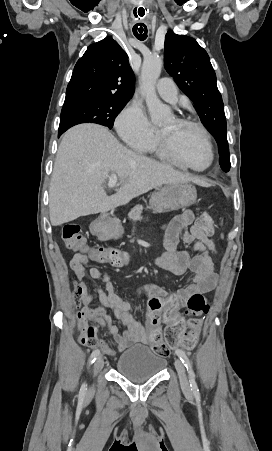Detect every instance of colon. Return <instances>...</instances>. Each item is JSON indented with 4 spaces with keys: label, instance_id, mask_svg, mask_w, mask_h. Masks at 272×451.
<instances>
[{
    "label": "colon",
    "instance_id": "obj_1",
    "mask_svg": "<svg viewBox=\"0 0 272 451\" xmlns=\"http://www.w3.org/2000/svg\"><path fill=\"white\" fill-rule=\"evenodd\" d=\"M198 228L202 231L201 237L203 239H212L214 235V217L209 211L203 212L196 221ZM61 236L67 247L71 250H78L83 247L84 236L81 232V227L75 223H69L62 229ZM86 249L91 247L89 242L84 244ZM94 256H105L110 261L111 268H120L128 262L127 253L119 249H107L105 247H94ZM84 260L79 258H71L68 261L69 266L75 267L76 270L81 271L85 268ZM209 299L201 294L192 295L187 302L186 316H190L192 321V332L197 333L199 327V315L205 314L209 308ZM186 331V318L173 323L166 329V339H160L157 334H154L151 339H146V348H153V351L158 356H168L171 349L174 347H196V338H179ZM99 327L96 324H90L84 330L81 336L82 342L87 347H95L97 345V336Z\"/></svg>",
    "mask_w": 272,
    "mask_h": 451
}]
</instances>
